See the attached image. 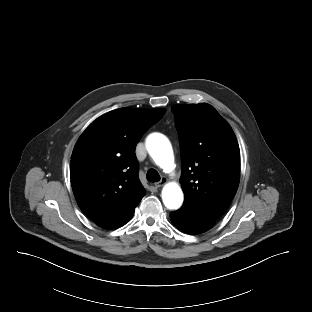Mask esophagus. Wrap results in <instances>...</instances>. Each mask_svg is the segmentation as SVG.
<instances>
[{"instance_id":"1","label":"esophagus","mask_w":312,"mask_h":312,"mask_svg":"<svg viewBox=\"0 0 312 312\" xmlns=\"http://www.w3.org/2000/svg\"><path fill=\"white\" fill-rule=\"evenodd\" d=\"M167 182V179L165 177H162L161 180L157 183H155V186L156 188H160L162 187L163 185H165Z\"/></svg>"}]
</instances>
